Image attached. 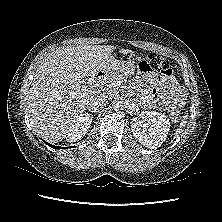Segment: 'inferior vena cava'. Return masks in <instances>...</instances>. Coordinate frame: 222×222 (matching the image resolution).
<instances>
[{"instance_id":"inferior-vena-cava-1","label":"inferior vena cava","mask_w":222,"mask_h":222,"mask_svg":"<svg viewBox=\"0 0 222 222\" xmlns=\"http://www.w3.org/2000/svg\"><path fill=\"white\" fill-rule=\"evenodd\" d=\"M90 110L96 111L97 108H103L108 104L107 97L100 93H95L90 99Z\"/></svg>"}]
</instances>
